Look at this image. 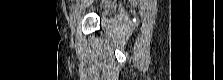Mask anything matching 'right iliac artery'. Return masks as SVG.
<instances>
[{"label":"right iliac artery","mask_w":223,"mask_h":80,"mask_svg":"<svg viewBox=\"0 0 223 80\" xmlns=\"http://www.w3.org/2000/svg\"><path fill=\"white\" fill-rule=\"evenodd\" d=\"M79 5H80L79 2H77V3L72 7V10L75 11V10L79 7Z\"/></svg>","instance_id":"obj_1"}]
</instances>
